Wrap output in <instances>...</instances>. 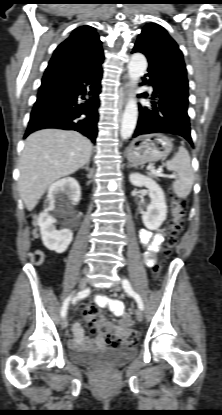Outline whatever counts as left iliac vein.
<instances>
[{
  "instance_id": "left-iliac-vein-1",
  "label": "left iliac vein",
  "mask_w": 222,
  "mask_h": 415,
  "mask_svg": "<svg viewBox=\"0 0 222 415\" xmlns=\"http://www.w3.org/2000/svg\"><path fill=\"white\" fill-rule=\"evenodd\" d=\"M112 289L115 290V291H120V286L115 284V285H113ZM136 318L139 322H141L143 320V313L141 312V310L136 311Z\"/></svg>"
}]
</instances>
